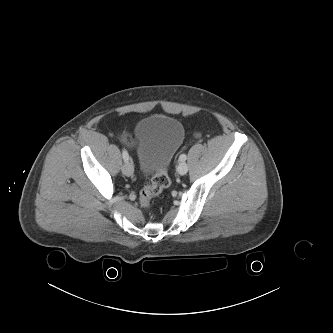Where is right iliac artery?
Returning a JSON list of instances; mask_svg holds the SVG:
<instances>
[{
	"mask_svg": "<svg viewBox=\"0 0 333 333\" xmlns=\"http://www.w3.org/2000/svg\"><path fill=\"white\" fill-rule=\"evenodd\" d=\"M122 156H123V159L125 162H127L129 160V154L125 149H123V151H122Z\"/></svg>",
	"mask_w": 333,
	"mask_h": 333,
	"instance_id": "right-iliac-artery-1",
	"label": "right iliac artery"
}]
</instances>
